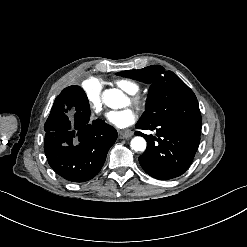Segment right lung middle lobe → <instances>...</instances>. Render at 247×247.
<instances>
[{
    "label": "right lung middle lobe",
    "mask_w": 247,
    "mask_h": 247,
    "mask_svg": "<svg viewBox=\"0 0 247 247\" xmlns=\"http://www.w3.org/2000/svg\"><path fill=\"white\" fill-rule=\"evenodd\" d=\"M69 90L73 93H75L77 95V97L79 98V100L84 104V105H89L87 96L85 94V92L83 91V89L79 86H69Z\"/></svg>",
    "instance_id": "dd1d6c3e"
}]
</instances>
